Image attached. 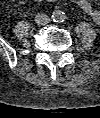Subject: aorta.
<instances>
[{"label": "aorta", "mask_w": 100, "mask_h": 118, "mask_svg": "<svg viewBox=\"0 0 100 118\" xmlns=\"http://www.w3.org/2000/svg\"><path fill=\"white\" fill-rule=\"evenodd\" d=\"M52 19L55 22H62L65 19V13L61 10H55L52 13Z\"/></svg>", "instance_id": "1"}]
</instances>
